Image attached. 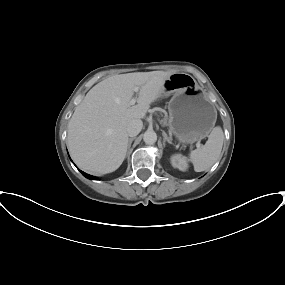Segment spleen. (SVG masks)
<instances>
[{
	"mask_svg": "<svg viewBox=\"0 0 285 285\" xmlns=\"http://www.w3.org/2000/svg\"><path fill=\"white\" fill-rule=\"evenodd\" d=\"M224 133L221 127H215L208 136L205 145L190 153V161L196 172L209 169L219 158L223 146Z\"/></svg>",
	"mask_w": 285,
	"mask_h": 285,
	"instance_id": "obj_1",
	"label": "spleen"
}]
</instances>
